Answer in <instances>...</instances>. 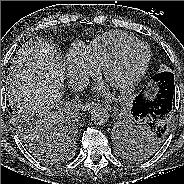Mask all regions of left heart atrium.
<instances>
[{"label": "left heart atrium", "instance_id": "1", "mask_svg": "<svg viewBox=\"0 0 184 184\" xmlns=\"http://www.w3.org/2000/svg\"><path fill=\"white\" fill-rule=\"evenodd\" d=\"M96 90H97L98 92H101V91H103V88H102V87H97Z\"/></svg>", "mask_w": 184, "mask_h": 184}]
</instances>
